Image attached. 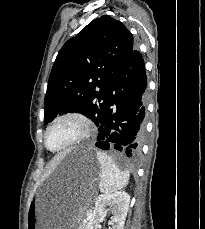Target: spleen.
Instances as JSON below:
<instances>
[{
    "mask_svg": "<svg viewBox=\"0 0 205 229\" xmlns=\"http://www.w3.org/2000/svg\"><path fill=\"white\" fill-rule=\"evenodd\" d=\"M97 159L101 166L100 189L109 194L117 192L126 186L129 173L121 171L113 159L104 152H97Z\"/></svg>",
    "mask_w": 205,
    "mask_h": 229,
    "instance_id": "spleen-1",
    "label": "spleen"
}]
</instances>
